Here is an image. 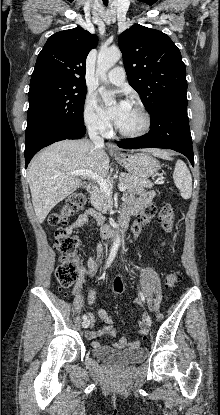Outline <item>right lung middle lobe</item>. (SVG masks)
Returning <instances> with one entry per match:
<instances>
[{"instance_id": "obj_1", "label": "right lung middle lobe", "mask_w": 220, "mask_h": 415, "mask_svg": "<svg viewBox=\"0 0 220 415\" xmlns=\"http://www.w3.org/2000/svg\"><path fill=\"white\" fill-rule=\"evenodd\" d=\"M86 86L43 78L30 81L26 140L44 129L84 125Z\"/></svg>"}]
</instances>
